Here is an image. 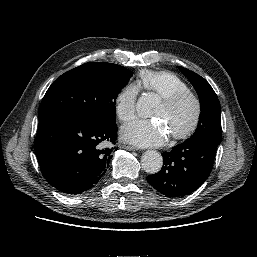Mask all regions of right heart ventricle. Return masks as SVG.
<instances>
[{"label": "right heart ventricle", "instance_id": "right-heart-ventricle-1", "mask_svg": "<svg viewBox=\"0 0 257 257\" xmlns=\"http://www.w3.org/2000/svg\"><path fill=\"white\" fill-rule=\"evenodd\" d=\"M138 84L144 89L165 97L176 92L188 90V85L176 74L170 71H141L138 75Z\"/></svg>", "mask_w": 257, "mask_h": 257}]
</instances>
